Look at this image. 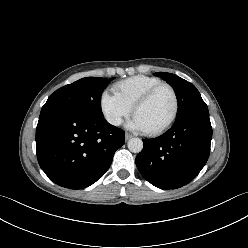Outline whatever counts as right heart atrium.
<instances>
[{
	"label": "right heart atrium",
	"instance_id": "obj_1",
	"mask_svg": "<svg viewBox=\"0 0 248 248\" xmlns=\"http://www.w3.org/2000/svg\"><path fill=\"white\" fill-rule=\"evenodd\" d=\"M100 109L106 121L113 126H119L132 111L118 96L108 91L100 96Z\"/></svg>",
	"mask_w": 248,
	"mask_h": 248
}]
</instances>
